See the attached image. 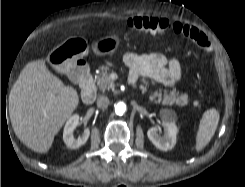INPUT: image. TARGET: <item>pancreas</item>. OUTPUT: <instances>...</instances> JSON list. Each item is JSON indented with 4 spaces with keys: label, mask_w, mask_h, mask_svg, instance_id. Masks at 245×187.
Returning <instances> with one entry per match:
<instances>
[{
    "label": "pancreas",
    "mask_w": 245,
    "mask_h": 187,
    "mask_svg": "<svg viewBox=\"0 0 245 187\" xmlns=\"http://www.w3.org/2000/svg\"><path fill=\"white\" fill-rule=\"evenodd\" d=\"M101 74L97 80V86L102 90H114V81L110 77V68L107 66H101L100 68ZM142 82L145 86H141V90L143 93L146 92L148 81L145 78H142ZM150 101L154 103H163L165 105L168 104H177L178 106H185L188 104V95L187 94H179L175 89L170 91L169 93L165 92L162 94L161 91H155L149 96Z\"/></svg>",
    "instance_id": "cf45deb5"
}]
</instances>
